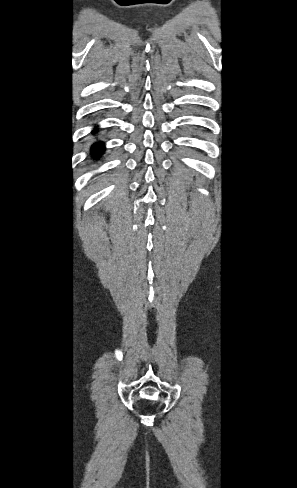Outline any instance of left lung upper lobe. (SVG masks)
Returning <instances> with one entry per match:
<instances>
[{
  "label": "left lung upper lobe",
  "mask_w": 297,
  "mask_h": 488,
  "mask_svg": "<svg viewBox=\"0 0 297 488\" xmlns=\"http://www.w3.org/2000/svg\"><path fill=\"white\" fill-rule=\"evenodd\" d=\"M71 137H72V136H70V141H72V140H71V139H72Z\"/></svg>",
  "instance_id": "5c2ea615"
}]
</instances>
